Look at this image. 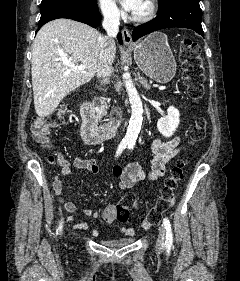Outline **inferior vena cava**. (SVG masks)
Listing matches in <instances>:
<instances>
[{
    "label": "inferior vena cava",
    "mask_w": 240,
    "mask_h": 281,
    "mask_svg": "<svg viewBox=\"0 0 240 281\" xmlns=\"http://www.w3.org/2000/svg\"><path fill=\"white\" fill-rule=\"evenodd\" d=\"M104 16L102 26L106 30L107 35L102 38V47L99 51V68L97 76L99 78L109 79L113 74L112 63L108 60V49L106 48L109 43H113L112 39L119 31L120 17L117 7L115 5H108L102 8Z\"/></svg>",
    "instance_id": "1"
}]
</instances>
